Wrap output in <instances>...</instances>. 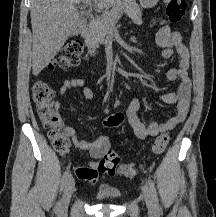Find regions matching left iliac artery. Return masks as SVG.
<instances>
[{"label": "left iliac artery", "instance_id": "obj_1", "mask_svg": "<svg viewBox=\"0 0 216 217\" xmlns=\"http://www.w3.org/2000/svg\"><path fill=\"white\" fill-rule=\"evenodd\" d=\"M148 184H149L150 194H151L154 206L156 208H158L159 207V199H158V196H157L156 188L154 186V182L151 180L150 177L148 178Z\"/></svg>", "mask_w": 216, "mask_h": 217}]
</instances>
